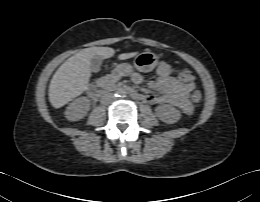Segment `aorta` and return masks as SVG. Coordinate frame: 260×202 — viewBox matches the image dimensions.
Here are the masks:
<instances>
[{
    "label": "aorta",
    "mask_w": 260,
    "mask_h": 202,
    "mask_svg": "<svg viewBox=\"0 0 260 202\" xmlns=\"http://www.w3.org/2000/svg\"><path fill=\"white\" fill-rule=\"evenodd\" d=\"M118 96L124 97V96H125V92H124V91H120V92L118 93Z\"/></svg>",
    "instance_id": "obj_1"
}]
</instances>
